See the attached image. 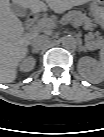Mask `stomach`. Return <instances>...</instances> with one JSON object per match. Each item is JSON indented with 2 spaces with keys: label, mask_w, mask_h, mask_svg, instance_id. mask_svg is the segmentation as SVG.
<instances>
[{
  "label": "stomach",
  "mask_w": 104,
  "mask_h": 137,
  "mask_svg": "<svg viewBox=\"0 0 104 137\" xmlns=\"http://www.w3.org/2000/svg\"><path fill=\"white\" fill-rule=\"evenodd\" d=\"M102 4L103 2L101 0H93V2L91 3V12L95 18H99L102 16Z\"/></svg>",
  "instance_id": "obj_1"
}]
</instances>
